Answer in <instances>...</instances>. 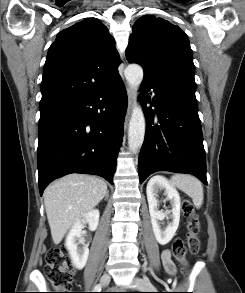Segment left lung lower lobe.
<instances>
[{
    "label": "left lung lower lobe",
    "instance_id": "0a47b994",
    "mask_svg": "<svg viewBox=\"0 0 245 293\" xmlns=\"http://www.w3.org/2000/svg\"><path fill=\"white\" fill-rule=\"evenodd\" d=\"M150 89L155 93L150 102L155 110L146 107ZM140 97L147 120L138 162L140 182L154 172L170 171L192 174L207 184L197 102L160 90L148 81H143Z\"/></svg>",
    "mask_w": 245,
    "mask_h": 293
}]
</instances>
